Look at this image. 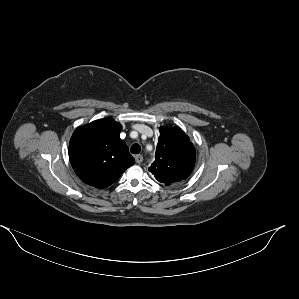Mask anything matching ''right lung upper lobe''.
<instances>
[{
    "instance_id": "right-lung-upper-lobe-1",
    "label": "right lung upper lobe",
    "mask_w": 299,
    "mask_h": 299,
    "mask_svg": "<svg viewBox=\"0 0 299 299\" xmlns=\"http://www.w3.org/2000/svg\"><path fill=\"white\" fill-rule=\"evenodd\" d=\"M121 129L116 121L100 119L75 130L69 143V159L82 181L104 189L134 164L119 137Z\"/></svg>"
}]
</instances>
